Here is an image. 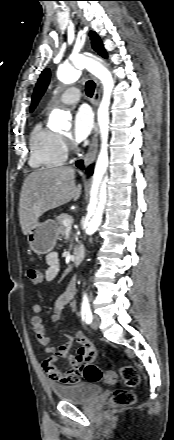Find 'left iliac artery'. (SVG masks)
I'll return each mask as SVG.
<instances>
[{"instance_id":"obj_1","label":"left iliac artery","mask_w":174,"mask_h":440,"mask_svg":"<svg viewBox=\"0 0 174 440\" xmlns=\"http://www.w3.org/2000/svg\"><path fill=\"white\" fill-rule=\"evenodd\" d=\"M81 314H82L83 320L87 324H90L92 322L93 316H92V312L90 309L89 300H88V297L86 294H84V296H83Z\"/></svg>"}]
</instances>
